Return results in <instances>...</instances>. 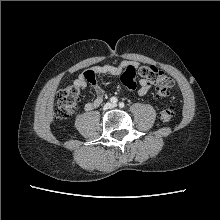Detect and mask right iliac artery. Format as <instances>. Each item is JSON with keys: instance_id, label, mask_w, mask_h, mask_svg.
I'll list each match as a JSON object with an SVG mask.
<instances>
[{"instance_id": "1", "label": "right iliac artery", "mask_w": 220, "mask_h": 220, "mask_svg": "<svg viewBox=\"0 0 220 220\" xmlns=\"http://www.w3.org/2000/svg\"><path fill=\"white\" fill-rule=\"evenodd\" d=\"M110 101L115 104V103L118 102V99H117L116 97H112V98L110 99Z\"/></svg>"}]
</instances>
